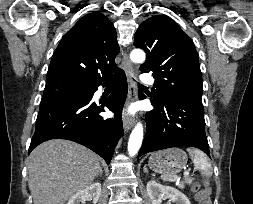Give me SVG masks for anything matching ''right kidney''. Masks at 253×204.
I'll list each match as a JSON object with an SVG mask.
<instances>
[{
	"label": "right kidney",
	"instance_id": "obj_1",
	"mask_svg": "<svg viewBox=\"0 0 253 204\" xmlns=\"http://www.w3.org/2000/svg\"><path fill=\"white\" fill-rule=\"evenodd\" d=\"M101 195V184L96 182L86 189H83L74 194L67 204H85L86 200H90L93 204H96Z\"/></svg>",
	"mask_w": 253,
	"mask_h": 204
}]
</instances>
